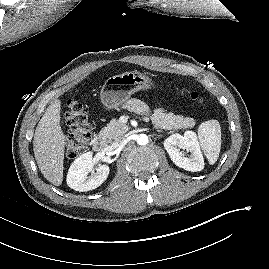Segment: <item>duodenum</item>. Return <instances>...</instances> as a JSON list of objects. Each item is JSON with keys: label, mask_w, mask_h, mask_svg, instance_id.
Instances as JSON below:
<instances>
[{"label": "duodenum", "mask_w": 269, "mask_h": 269, "mask_svg": "<svg viewBox=\"0 0 269 269\" xmlns=\"http://www.w3.org/2000/svg\"><path fill=\"white\" fill-rule=\"evenodd\" d=\"M107 146L106 139L103 137H98L93 142V149L97 152L103 151Z\"/></svg>", "instance_id": "duodenum-1"}]
</instances>
